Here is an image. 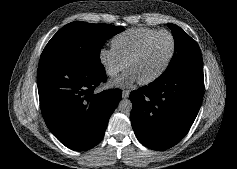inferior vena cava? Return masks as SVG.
<instances>
[{
  "label": "inferior vena cava",
  "instance_id": "602c4592",
  "mask_svg": "<svg viewBox=\"0 0 237 169\" xmlns=\"http://www.w3.org/2000/svg\"><path fill=\"white\" fill-rule=\"evenodd\" d=\"M109 74L112 75V74H114V72L113 71H109Z\"/></svg>",
  "mask_w": 237,
  "mask_h": 169
}]
</instances>
